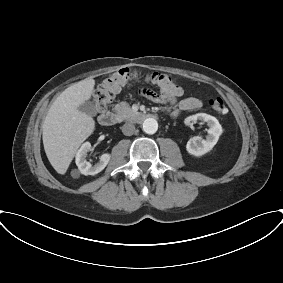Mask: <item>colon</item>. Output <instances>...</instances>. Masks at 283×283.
<instances>
[{
  "instance_id": "1",
  "label": "colon",
  "mask_w": 283,
  "mask_h": 283,
  "mask_svg": "<svg viewBox=\"0 0 283 283\" xmlns=\"http://www.w3.org/2000/svg\"><path fill=\"white\" fill-rule=\"evenodd\" d=\"M131 76L132 73L129 69L122 68L105 78L93 94V104L96 110H105L107 105L112 101L117 89L127 83ZM148 80L157 86L158 92L143 90V93L147 96L154 93L159 99H166L177 93L175 83L165 74L153 73L148 76ZM208 105L219 114H225L227 112L226 104L220 97L209 98Z\"/></svg>"
}]
</instances>
